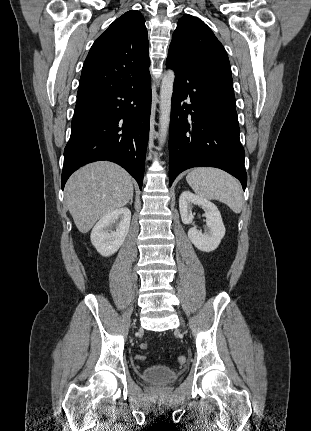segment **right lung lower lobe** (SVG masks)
I'll list each match as a JSON object with an SVG mask.
<instances>
[{"label":"right lung lower lobe","mask_w":311,"mask_h":431,"mask_svg":"<svg viewBox=\"0 0 311 431\" xmlns=\"http://www.w3.org/2000/svg\"><path fill=\"white\" fill-rule=\"evenodd\" d=\"M151 112L149 69L125 84L77 96L64 150L62 189L79 167L99 160L125 168L142 188Z\"/></svg>","instance_id":"obj_1"}]
</instances>
